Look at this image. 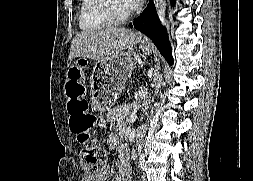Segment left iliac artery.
<instances>
[{
	"label": "left iliac artery",
	"mask_w": 253,
	"mask_h": 181,
	"mask_svg": "<svg viewBox=\"0 0 253 181\" xmlns=\"http://www.w3.org/2000/svg\"><path fill=\"white\" fill-rule=\"evenodd\" d=\"M139 163H140V167H141V168H144L145 160L140 159Z\"/></svg>",
	"instance_id": "44dca946"
}]
</instances>
